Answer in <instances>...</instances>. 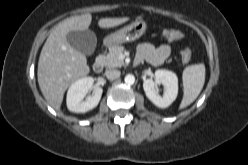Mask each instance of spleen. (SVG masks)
<instances>
[{"label": "spleen", "instance_id": "1", "mask_svg": "<svg viewBox=\"0 0 248 165\" xmlns=\"http://www.w3.org/2000/svg\"><path fill=\"white\" fill-rule=\"evenodd\" d=\"M184 95L179 109L189 106L200 94L205 82L204 64L187 66L182 75Z\"/></svg>", "mask_w": 248, "mask_h": 165}]
</instances>
